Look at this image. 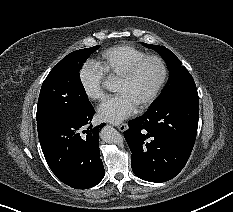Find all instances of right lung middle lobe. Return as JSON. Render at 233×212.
Returning a JSON list of instances; mask_svg holds the SVG:
<instances>
[{"instance_id": "obj_1", "label": "right lung middle lobe", "mask_w": 233, "mask_h": 212, "mask_svg": "<svg viewBox=\"0 0 233 212\" xmlns=\"http://www.w3.org/2000/svg\"><path fill=\"white\" fill-rule=\"evenodd\" d=\"M98 48L99 45L74 51L50 71L42 84L38 99V133L92 107L80 80L79 71L89 55Z\"/></svg>"}]
</instances>
